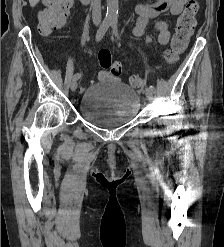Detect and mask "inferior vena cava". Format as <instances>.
Instances as JSON below:
<instances>
[{
    "mask_svg": "<svg viewBox=\"0 0 224 247\" xmlns=\"http://www.w3.org/2000/svg\"><path fill=\"white\" fill-rule=\"evenodd\" d=\"M92 20L94 24L101 22V0H94L93 2Z\"/></svg>",
    "mask_w": 224,
    "mask_h": 247,
    "instance_id": "602c4592",
    "label": "inferior vena cava"
}]
</instances>
